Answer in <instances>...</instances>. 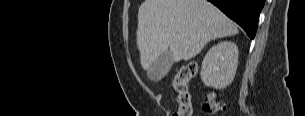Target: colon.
I'll return each instance as SVG.
<instances>
[{
	"label": "colon",
	"instance_id": "1",
	"mask_svg": "<svg viewBox=\"0 0 305 116\" xmlns=\"http://www.w3.org/2000/svg\"><path fill=\"white\" fill-rule=\"evenodd\" d=\"M199 71V66L196 62H190L181 66L173 79V88L177 93L178 110L171 116H192L191 97L187 89V82L195 77ZM225 105L220 101L216 94L210 93L206 97L204 110L208 113H215L223 110Z\"/></svg>",
	"mask_w": 305,
	"mask_h": 116
}]
</instances>
